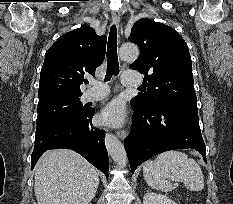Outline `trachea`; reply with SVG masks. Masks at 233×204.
<instances>
[{"label": "trachea", "instance_id": "obj_1", "mask_svg": "<svg viewBox=\"0 0 233 204\" xmlns=\"http://www.w3.org/2000/svg\"><path fill=\"white\" fill-rule=\"evenodd\" d=\"M119 74V62L117 56V31L116 27L112 26L107 45V72L105 81H109L113 75Z\"/></svg>", "mask_w": 233, "mask_h": 204}]
</instances>
